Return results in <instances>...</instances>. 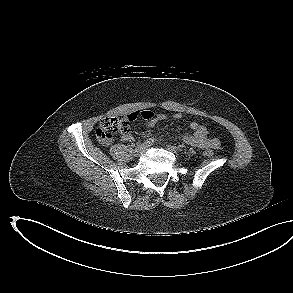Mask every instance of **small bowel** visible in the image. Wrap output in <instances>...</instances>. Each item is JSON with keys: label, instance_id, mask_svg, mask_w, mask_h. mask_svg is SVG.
<instances>
[{"label": "small bowel", "instance_id": "1", "mask_svg": "<svg viewBox=\"0 0 293 293\" xmlns=\"http://www.w3.org/2000/svg\"><path fill=\"white\" fill-rule=\"evenodd\" d=\"M141 117L145 121L146 125V136H150L151 129L159 122L166 120L167 116L163 113H154L151 110H143V111H134L126 116L127 119L133 121ZM175 119H180L181 114L177 113L173 116ZM190 128L193 130V133L185 134L183 136V141L193 147H197L200 149H218L220 146V142L216 138H209L207 128L196 121L190 123ZM122 140L127 142H133L134 136L129 132L127 134L122 135Z\"/></svg>", "mask_w": 293, "mask_h": 293}]
</instances>
